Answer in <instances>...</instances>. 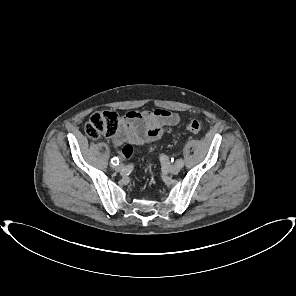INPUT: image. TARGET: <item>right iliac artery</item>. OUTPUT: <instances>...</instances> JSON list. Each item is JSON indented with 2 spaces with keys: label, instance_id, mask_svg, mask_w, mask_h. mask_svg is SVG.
<instances>
[{
  "label": "right iliac artery",
  "instance_id": "obj_1",
  "mask_svg": "<svg viewBox=\"0 0 296 296\" xmlns=\"http://www.w3.org/2000/svg\"><path fill=\"white\" fill-rule=\"evenodd\" d=\"M111 164L114 165V166L118 165L119 164V159L117 157L112 158Z\"/></svg>",
  "mask_w": 296,
  "mask_h": 296
}]
</instances>
